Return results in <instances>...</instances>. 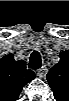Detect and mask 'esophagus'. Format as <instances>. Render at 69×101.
I'll return each mask as SVG.
<instances>
[{"label":"esophagus","mask_w":69,"mask_h":101,"mask_svg":"<svg viewBox=\"0 0 69 101\" xmlns=\"http://www.w3.org/2000/svg\"><path fill=\"white\" fill-rule=\"evenodd\" d=\"M46 72H47V68L45 66H43L42 68L37 70V75L40 78H44L46 76Z\"/></svg>","instance_id":"obj_1"}]
</instances>
